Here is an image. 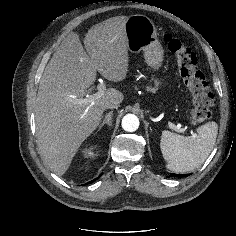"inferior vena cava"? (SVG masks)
<instances>
[{
	"label": "inferior vena cava",
	"instance_id": "obj_1",
	"mask_svg": "<svg viewBox=\"0 0 236 236\" xmlns=\"http://www.w3.org/2000/svg\"><path fill=\"white\" fill-rule=\"evenodd\" d=\"M106 108H110V109L118 108V104L117 103H108L106 105Z\"/></svg>",
	"mask_w": 236,
	"mask_h": 236
}]
</instances>
